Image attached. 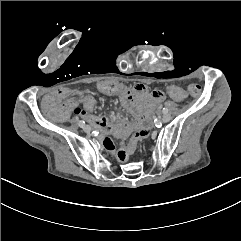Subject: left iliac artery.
<instances>
[{"label":"left iliac artery","instance_id":"left-iliac-artery-1","mask_svg":"<svg viewBox=\"0 0 241 241\" xmlns=\"http://www.w3.org/2000/svg\"><path fill=\"white\" fill-rule=\"evenodd\" d=\"M162 112H163L164 114H167V113H168V109H167V108H163V109H162Z\"/></svg>","mask_w":241,"mask_h":241}]
</instances>
